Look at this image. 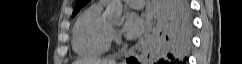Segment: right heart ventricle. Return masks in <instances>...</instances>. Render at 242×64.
<instances>
[{
  "label": "right heart ventricle",
  "mask_w": 242,
  "mask_h": 64,
  "mask_svg": "<svg viewBox=\"0 0 242 64\" xmlns=\"http://www.w3.org/2000/svg\"><path fill=\"white\" fill-rule=\"evenodd\" d=\"M104 5L95 3L77 18L72 30V48L83 58L104 54L110 46L111 27L103 16Z\"/></svg>",
  "instance_id": "obj_1"
}]
</instances>
